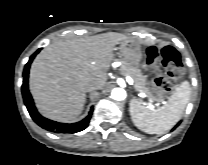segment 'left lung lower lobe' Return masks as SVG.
I'll return each mask as SVG.
<instances>
[{"mask_svg":"<svg viewBox=\"0 0 208 165\" xmlns=\"http://www.w3.org/2000/svg\"><path fill=\"white\" fill-rule=\"evenodd\" d=\"M179 125V123L175 126V127H177ZM175 129V128H174Z\"/></svg>","mask_w":208,"mask_h":165,"instance_id":"1","label":"left lung lower lobe"}]
</instances>
